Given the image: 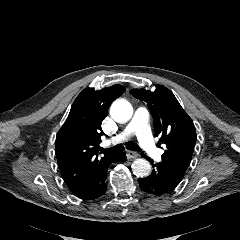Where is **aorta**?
<instances>
[{"label":"aorta","mask_w":240,"mask_h":240,"mask_svg":"<svg viewBox=\"0 0 240 240\" xmlns=\"http://www.w3.org/2000/svg\"><path fill=\"white\" fill-rule=\"evenodd\" d=\"M110 115L118 122H127L133 115V107L126 100H116L110 107ZM131 167L137 177H147L151 173L150 163L143 158L135 159Z\"/></svg>","instance_id":"obj_1"}]
</instances>
